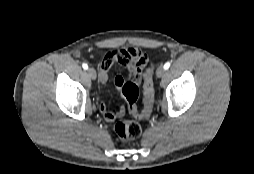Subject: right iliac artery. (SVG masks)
<instances>
[{"label": "right iliac artery", "mask_w": 254, "mask_h": 174, "mask_svg": "<svg viewBox=\"0 0 254 174\" xmlns=\"http://www.w3.org/2000/svg\"><path fill=\"white\" fill-rule=\"evenodd\" d=\"M82 67H83L85 70L88 69V65L85 64V63L82 65Z\"/></svg>", "instance_id": "right-iliac-artery-1"}]
</instances>
